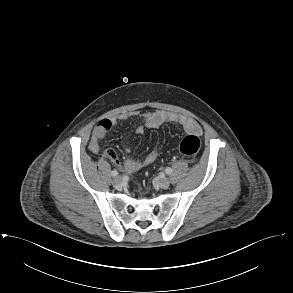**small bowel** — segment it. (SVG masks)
<instances>
[{"instance_id": "obj_1", "label": "small bowel", "mask_w": 293, "mask_h": 293, "mask_svg": "<svg viewBox=\"0 0 293 293\" xmlns=\"http://www.w3.org/2000/svg\"><path fill=\"white\" fill-rule=\"evenodd\" d=\"M141 116L144 120V126H139L136 130L138 134H143L145 128L156 129L165 123L177 124L183 127L188 134L201 135L202 128L197 121L182 114L167 112V111H152V112H124L118 115L109 116L102 119L94 133V136L90 142V150L94 153L99 152L100 145L99 140L110 131L118 122L126 121L129 118ZM126 152L129 153V148H126ZM103 155L109 159L117 167L124 169L128 173H134L141 168L152 164L158 157V151L156 149L151 150L143 160H137L134 158H128L125 162H121L112 149H107L103 152Z\"/></svg>"}]
</instances>
